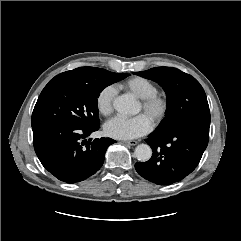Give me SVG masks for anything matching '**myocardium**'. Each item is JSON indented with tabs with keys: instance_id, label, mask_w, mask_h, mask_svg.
Returning <instances> with one entry per match:
<instances>
[{
	"instance_id": "f54148a6",
	"label": "myocardium",
	"mask_w": 241,
	"mask_h": 241,
	"mask_svg": "<svg viewBox=\"0 0 241 241\" xmlns=\"http://www.w3.org/2000/svg\"><path fill=\"white\" fill-rule=\"evenodd\" d=\"M141 106L151 121L157 125L165 119L169 110V101L167 97L156 93L142 99Z\"/></svg>"
}]
</instances>
